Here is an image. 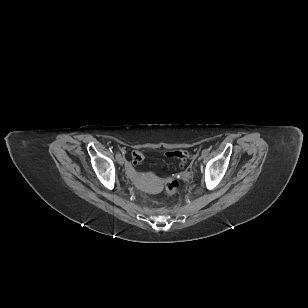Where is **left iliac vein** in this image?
Listing matches in <instances>:
<instances>
[{
  "mask_svg": "<svg viewBox=\"0 0 308 308\" xmlns=\"http://www.w3.org/2000/svg\"><path fill=\"white\" fill-rule=\"evenodd\" d=\"M206 154L202 152L201 156L199 157V160H201Z\"/></svg>",
  "mask_w": 308,
  "mask_h": 308,
  "instance_id": "obj_1",
  "label": "left iliac vein"
}]
</instances>
